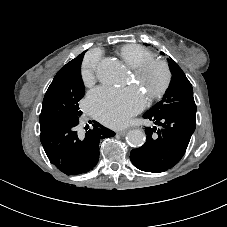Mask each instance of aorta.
I'll list each match as a JSON object with an SVG mask.
<instances>
[{"mask_svg":"<svg viewBox=\"0 0 227 227\" xmlns=\"http://www.w3.org/2000/svg\"><path fill=\"white\" fill-rule=\"evenodd\" d=\"M121 76L122 66L115 58H104L97 66V77L104 84H117ZM126 140L132 147H140L145 143V133L139 129L130 130Z\"/></svg>","mask_w":227,"mask_h":227,"instance_id":"aorta-1","label":"aorta"}]
</instances>
